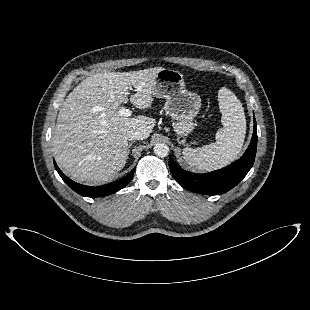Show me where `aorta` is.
<instances>
[{"label": "aorta", "mask_w": 310, "mask_h": 310, "mask_svg": "<svg viewBox=\"0 0 310 310\" xmlns=\"http://www.w3.org/2000/svg\"><path fill=\"white\" fill-rule=\"evenodd\" d=\"M154 154L158 157H166L169 154V147L165 143H157L154 146Z\"/></svg>", "instance_id": "762f6f07"}]
</instances>
